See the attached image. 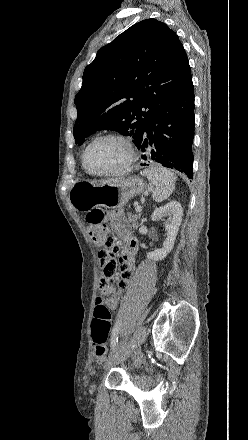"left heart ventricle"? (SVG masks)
<instances>
[{
	"label": "left heart ventricle",
	"instance_id": "obj_1",
	"mask_svg": "<svg viewBox=\"0 0 248 440\" xmlns=\"http://www.w3.org/2000/svg\"><path fill=\"white\" fill-rule=\"evenodd\" d=\"M127 148L117 139H103L95 143L87 156L88 166L95 172L115 171L124 166Z\"/></svg>",
	"mask_w": 248,
	"mask_h": 440
}]
</instances>
